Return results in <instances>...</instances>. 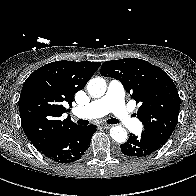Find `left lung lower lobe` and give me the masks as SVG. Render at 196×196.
Segmentation results:
<instances>
[{
    "instance_id": "left-lung-lower-lobe-1",
    "label": "left lung lower lobe",
    "mask_w": 196,
    "mask_h": 196,
    "mask_svg": "<svg viewBox=\"0 0 196 196\" xmlns=\"http://www.w3.org/2000/svg\"><path fill=\"white\" fill-rule=\"evenodd\" d=\"M162 145L144 134L140 137L130 134L126 143L120 146L123 154L131 157H144L159 150Z\"/></svg>"
}]
</instances>
